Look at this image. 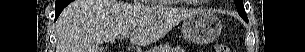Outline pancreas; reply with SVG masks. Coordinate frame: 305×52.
Instances as JSON below:
<instances>
[{
	"label": "pancreas",
	"mask_w": 305,
	"mask_h": 52,
	"mask_svg": "<svg viewBox=\"0 0 305 52\" xmlns=\"http://www.w3.org/2000/svg\"><path fill=\"white\" fill-rule=\"evenodd\" d=\"M175 48L170 45H163L154 49V52H174Z\"/></svg>",
	"instance_id": "pancreas-1"
}]
</instances>
